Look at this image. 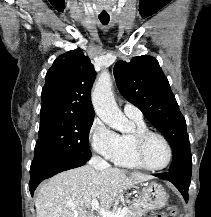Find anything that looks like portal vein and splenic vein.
I'll return each instance as SVG.
<instances>
[{"label": "portal vein and splenic vein", "mask_w": 211, "mask_h": 217, "mask_svg": "<svg viewBox=\"0 0 211 217\" xmlns=\"http://www.w3.org/2000/svg\"><path fill=\"white\" fill-rule=\"evenodd\" d=\"M91 207H92V210L98 211L102 217H124L127 214V212L129 211V207H124L118 213L112 214L111 212H109L103 208H100L98 200H93L91 203ZM72 208H74V207L72 206Z\"/></svg>", "instance_id": "1"}]
</instances>
